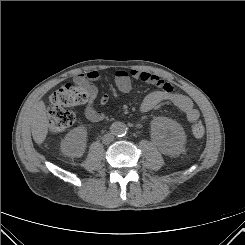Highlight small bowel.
Instances as JSON below:
<instances>
[{
	"label": "small bowel",
	"mask_w": 245,
	"mask_h": 245,
	"mask_svg": "<svg viewBox=\"0 0 245 245\" xmlns=\"http://www.w3.org/2000/svg\"><path fill=\"white\" fill-rule=\"evenodd\" d=\"M99 78L100 75L97 71H89L75 77V82L87 87L91 93L89 100L84 104V115L91 122H99L105 118V115L97 109L95 104L97 89L94 82L98 81ZM133 81L143 82L158 88V90L147 94L140 103L139 112L141 114L148 113L162 102H170L185 114L190 123L199 121L200 113L195 108L193 101L188 96L175 90L170 82L158 75L138 70H118L115 73V84L122 93L131 90ZM108 101L109 97L107 95H103L100 99L102 105L107 104Z\"/></svg>",
	"instance_id": "obj_1"
}]
</instances>
